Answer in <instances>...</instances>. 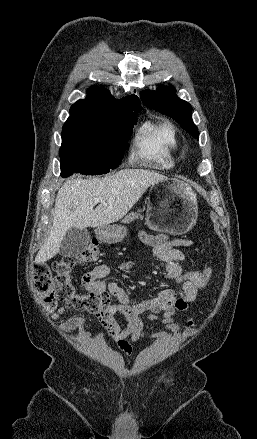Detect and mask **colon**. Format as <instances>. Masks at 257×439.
I'll use <instances>...</instances> for the list:
<instances>
[{
	"mask_svg": "<svg viewBox=\"0 0 257 439\" xmlns=\"http://www.w3.org/2000/svg\"><path fill=\"white\" fill-rule=\"evenodd\" d=\"M99 256L96 242L89 244L77 257L64 256L51 264H39L34 270V282L44 309L53 312L59 303L70 308L94 314L104 313L114 300L119 301L116 294L101 291H80L76 286L72 271L76 262H92ZM212 276V269L187 271L177 279L180 284L189 283L197 288L206 286Z\"/></svg>",
	"mask_w": 257,
	"mask_h": 439,
	"instance_id": "colon-1",
	"label": "colon"
}]
</instances>
